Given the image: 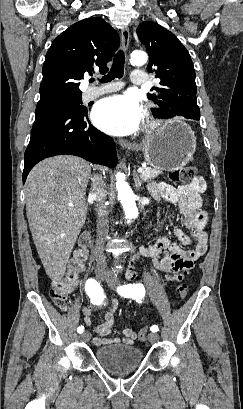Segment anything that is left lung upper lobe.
<instances>
[{
    "label": "left lung upper lobe",
    "instance_id": "left-lung-upper-lobe-1",
    "mask_svg": "<svg viewBox=\"0 0 243 409\" xmlns=\"http://www.w3.org/2000/svg\"><path fill=\"white\" fill-rule=\"evenodd\" d=\"M139 39L149 53V72H155L160 87L148 94L160 110L158 118L166 119L169 113L180 111L181 116L199 114L196 100L195 70L189 52L177 37L154 22H143L137 28Z\"/></svg>",
    "mask_w": 243,
    "mask_h": 409
}]
</instances>
